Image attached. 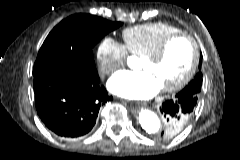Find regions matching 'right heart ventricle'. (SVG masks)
I'll return each instance as SVG.
<instances>
[{"label":"right heart ventricle","mask_w":240,"mask_h":160,"mask_svg":"<svg viewBox=\"0 0 240 160\" xmlns=\"http://www.w3.org/2000/svg\"><path fill=\"white\" fill-rule=\"evenodd\" d=\"M180 32L174 25L165 22H154L136 25L125 29L122 33L127 51L137 57L152 52L168 35Z\"/></svg>","instance_id":"obj_1"}]
</instances>
